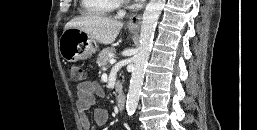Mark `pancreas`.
<instances>
[{
	"label": "pancreas",
	"instance_id": "1",
	"mask_svg": "<svg viewBox=\"0 0 257 130\" xmlns=\"http://www.w3.org/2000/svg\"><path fill=\"white\" fill-rule=\"evenodd\" d=\"M115 48H105L103 49L97 58V64L99 67L104 68L108 65L109 60L112 58L115 53ZM120 87V83H117V88Z\"/></svg>",
	"mask_w": 257,
	"mask_h": 130
}]
</instances>
